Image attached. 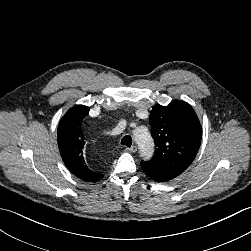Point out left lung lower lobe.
<instances>
[{
	"mask_svg": "<svg viewBox=\"0 0 251 251\" xmlns=\"http://www.w3.org/2000/svg\"><path fill=\"white\" fill-rule=\"evenodd\" d=\"M141 168L150 178L156 182H165L176 178L178 175L175 172L165 171L151 167L143 162H141Z\"/></svg>",
	"mask_w": 251,
	"mask_h": 251,
	"instance_id": "left-lung-lower-lobe-1",
	"label": "left lung lower lobe"
}]
</instances>
